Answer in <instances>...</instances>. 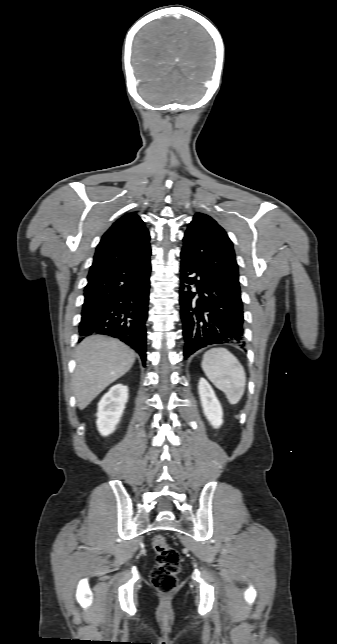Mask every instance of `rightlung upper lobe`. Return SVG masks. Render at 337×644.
Listing matches in <instances>:
<instances>
[{"mask_svg":"<svg viewBox=\"0 0 337 644\" xmlns=\"http://www.w3.org/2000/svg\"><path fill=\"white\" fill-rule=\"evenodd\" d=\"M149 232L132 212L122 216L97 246L88 281L124 264L139 263L151 254Z\"/></svg>","mask_w":337,"mask_h":644,"instance_id":"obj_1","label":"right lung upper lobe"}]
</instances>
